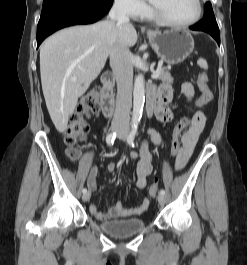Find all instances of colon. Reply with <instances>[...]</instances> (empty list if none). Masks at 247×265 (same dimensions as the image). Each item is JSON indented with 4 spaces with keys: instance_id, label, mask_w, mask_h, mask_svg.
<instances>
[{
    "instance_id": "1",
    "label": "colon",
    "mask_w": 247,
    "mask_h": 265,
    "mask_svg": "<svg viewBox=\"0 0 247 265\" xmlns=\"http://www.w3.org/2000/svg\"><path fill=\"white\" fill-rule=\"evenodd\" d=\"M208 82V75L205 72H201L197 77V85L200 95L195 102L199 107L209 104L213 99V93ZM100 96V91L98 89L94 88L90 90L81 99L78 107L69 119L64 133V142L67 145V156L71 160H76L80 155L77 145L88 135L89 125L87 119L98 111L100 106ZM189 122V118L184 117L173 128L170 143V156L175 163L181 148L179 137L188 127ZM158 189L159 184L158 181H156V183H154L149 189V196L155 197L158 193Z\"/></svg>"
}]
</instances>
